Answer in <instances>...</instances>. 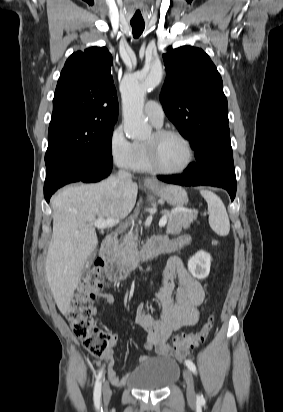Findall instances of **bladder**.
<instances>
[{"mask_svg": "<svg viewBox=\"0 0 283 412\" xmlns=\"http://www.w3.org/2000/svg\"><path fill=\"white\" fill-rule=\"evenodd\" d=\"M180 375L178 363L169 358L148 359L127 376L128 385L140 390H163L174 384Z\"/></svg>", "mask_w": 283, "mask_h": 412, "instance_id": "bladder-1", "label": "bladder"}]
</instances>
